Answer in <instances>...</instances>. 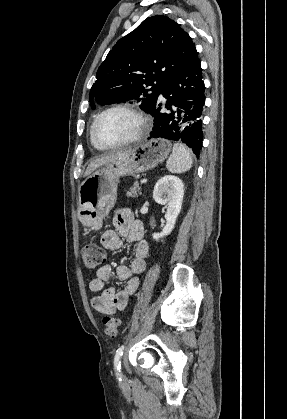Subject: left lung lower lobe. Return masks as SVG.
<instances>
[{"label": "left lung lower lobe", "mask_w": 287, "mask_h": 419, "mask_svg": "<svg viewBox=\"0 0 287 419\" xmlns=\"http://www.w3.org/2000/svg\"><path fill=\"white\" fill-rule=\"evenodd\" d=\"M204 81L199 59L168 80L159 90L167 99V113H161L157 101L149 111L154 124L149 139L165 138L186 143L199 156L202 147V108L205 103ZM158 99V97H157Z\"/></svg>", "instance_id": "obj_1"}]
</instances>
